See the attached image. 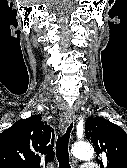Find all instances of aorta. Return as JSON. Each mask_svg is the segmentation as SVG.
I'll list each match as a JSON object with an SVG mask.
<instances>
[{
  "mask_svg": "<svg viewBox=\"0 0 127 168\" xmlns=\"http://www.w3.org/2000/svg\"><path fill=\"white\" fill-rule=\"evenodd\" d=\"M73 155L80 160H91L94 149L88 142H79L73 148Z\"/></svg>",
  "mask_w": 127,
  "mask_h": 168,
  "instance_id": "aorta-1",
  "label": "aorta"
}]
</instances>
